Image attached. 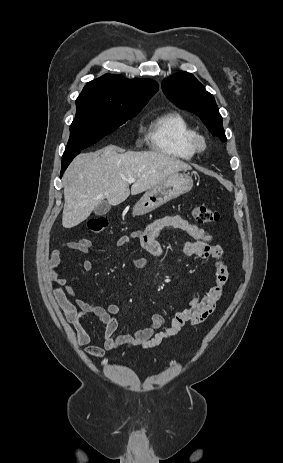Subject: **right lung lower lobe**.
Returning a JSON list of instances; mask_svg holds the SVG:
<instances>
[{
  "label": "right lung lower lobe",
  "instance_id": "98d812e1",
  "mask_svg": "<svg viewBox=\"0 0 283 463\" xmlns=\"http://www.w3.org/2000/svg\"><path fill=\"white\" fill-rule=\"evenodd\" d=\"M80 153V151L78 152H75V153H71V154H67V155H63L62 156V167H61V175L60 177L62 176L63 172L66 170V168L68 167V165L70 164V162L74 159V157L76 155H78Z\"/></svg>",
  "mask_w": 283,
  "mask_h": 463
}]
</instances>
